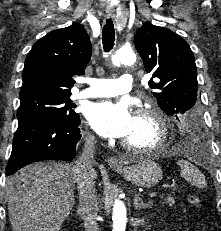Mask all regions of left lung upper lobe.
Masks as SVG:
<instances>
[{
  "label": "left lung upper lobe",
  "mask_w": 221,
  "mask_h": 231,
  "mask_svg": "<svg viewBox=\"0 0 221 231\" xmlns=\"http://www.w3.org/2000/svg\"><path fill=\"white\" fill-rule=\"evenodd\" d=\"M135 47L159 107L169 115L190 117L198 107L197 69L188 43L173 31L150 23L135 36ZM178 119V117H177Z\"/></svg>",
  "instance_id": "5c2ea615"
}]
</instances>
